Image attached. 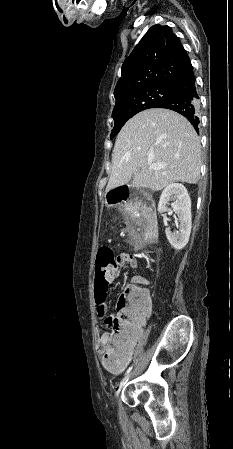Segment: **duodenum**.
I'll return each instance as SVG.
<instances>
[{
	"label": "duodenum",
	"instance_id": "duodenum-1",
	"mask_svg": "<svg viewBox=\"0 0 233 449\" xmlns=\"http://www.w3.org/2000/svg\"><path fill=\"white\" fill-rule=\"evenodd\" d=\"M106 198L108 206L128 205L144 233L148 236L155 233L154 204L149 196L134 190L133 186H111Z\"/></svg>",
	"mask_w": 233,
	"mask_h": 449
}]
</instances>
